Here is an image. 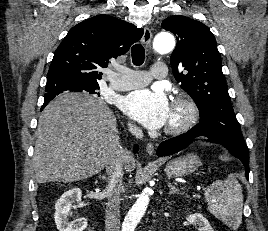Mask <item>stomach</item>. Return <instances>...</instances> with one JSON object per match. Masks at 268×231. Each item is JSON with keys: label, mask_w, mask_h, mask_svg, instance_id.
<instances>
[{"label": "stomach", "mask_w": 268, "mask_h": 231, "mask_svg": "<svg viewBox=\"0 0 268 231\" xmlns=\"http://www.w3.org/2000/svg\"><path fill=\"white\" fill-rule=\"evenodd\" d=\"M200 165L201 162L197 155L188 154L168 162L165 172L168 177H182L193 173Z\"/></svg>", "instance_id": "stomach-1"}]
</instances>
